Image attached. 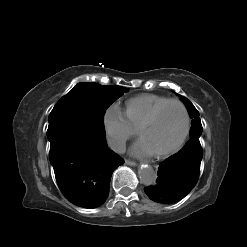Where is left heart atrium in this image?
<instances>
[{
  "label": "left heart atrium",
  "mask_w": 247,
  "mask_h": 247,
  "mask_svg": "<svg viewBox=\"0 0 247 247\" xmlns=\"http://www.w3.org/2000/svg\"><path fill=\"white\" fill-rule=\"evenodd\" d=\"M131 153L135 156H148L153 154L152 150L142 139L132 146Z\"/></svg>",
  "instance_id": "39dd6f15"
}]
</instances>
